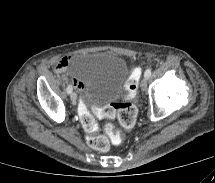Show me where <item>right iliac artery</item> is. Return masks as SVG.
I'll list each match as a JSON object with an SVG mask.
<instances>
[{"instance_id": "82829eb1", "label": "right iliac artery", "mask_w": 215, "mask_h": 183, "mask_svg": "<svg viewBox=\"0 0 215 183\" xmlns=\"http://www.w3.org/2000/svg\"><path fill=\"white\" fill-rule=\"evenodd\" d=\"M73 88H72V85H69L67 87V93L70 94L72 92Z\"/></svg>"}]
</instances>
